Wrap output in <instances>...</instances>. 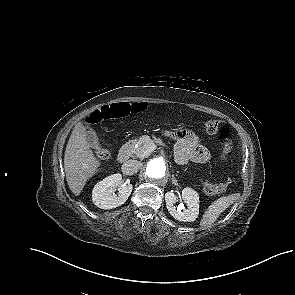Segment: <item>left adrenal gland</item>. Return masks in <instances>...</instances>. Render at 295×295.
Returning <instances> with one entry per match:
<instances>
[{"mask_svg": "<svg viewBox=\"0 0 295 295\" xmlns=\"http://www.w3.org/2000/svg\"><path fill=\"white\" fill-rule=\"evenodd\" d=\"M172 182H173V184L178 185V183H177L176 179L174 178V176L172 178Z\"/></svg>", "mask_w": 295, "mask_h": 295, "instance_id": "obj_1", "label": "left adrenal gland"}]
</instances>
